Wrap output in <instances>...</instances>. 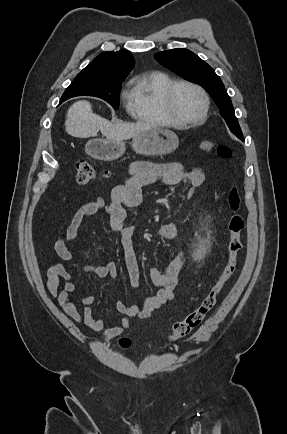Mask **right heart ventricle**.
Wrapping results in <instances>:
<instances>
[{"label": "right heart ventricle", "instance_id": "right-heart-ventricle-1", "mask_svg": "<svg viewBox=\"0 0 287 434\" xmlns=\"http://www.w3.org/2000/svg\"><path fill=\"white\" fill-rule=\"evenodd\" d=\"M173 79L164 72L154 71L137 75L131 84L129 112L139 121L172 126L163 107V94Z\"/></svg>", "mask_w": 287, "mask_h": 434}]
</instances>
